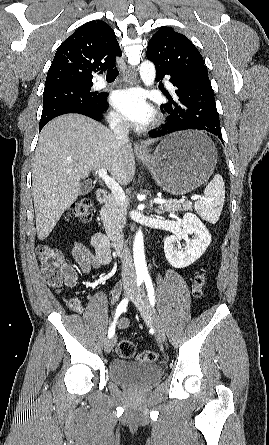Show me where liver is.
Returning a JSON list of instances; mask_svg holds the SVG:
<instances>
[{
	"instance_id": "1",
	"label": "liver",
	"mask_w": 269,
	"mask_h": 445,
	"mask_svg": "<svg viewBox=\"0 0 269 445\" xmlns=\"http://www.w3.org/2000/svg\"><path fill=\"white\" fill-rule=\"evenodd\" d=\"M107 168L127 185L135 175L132 144L101 123L79 114L50 121L41 131L32 170L37 236L46 239L81 193L80 180Z\"/></svg>"
}]
</instances>
